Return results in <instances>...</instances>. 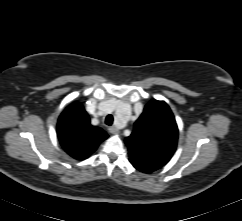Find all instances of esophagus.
I'll use <instances>...</instances> for the list:
<instances>
[{
  "instance_id": "1",
  "label": "esophagus",
  "mask_w": 242,
  "mask_h": 221,
  "mask_svg": "<svg viewBox=\"0 0 242 221\" xmlns=\"http://www.w3.org/2000/svg\"><path fill=\"white\" fill-rule=\"evenodd\" d=\"M108 130L112 134H118L119 133V130L116 127H114V126L109 127Z\"/></svg>"
}]
</instances>
